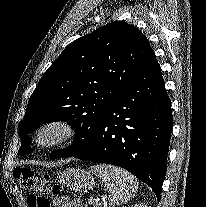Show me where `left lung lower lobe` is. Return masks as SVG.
Masks as SVG:
<instances>
[{
  "label": "left lung lower lobe",
  "instance_id": "1",
  "mask_svg": "<svg viewBox=\"0 0 206 207\" xmlns=\"http://www.w3.org/2000/svg\"><path fill=\"white\" fill-rule=\"evenodd\" d=\"M172 125L171 102L153 55L109 104L91 144L70 156L120 166L160 200Z\"/></svg>",
  "mask_w": 206,
  "mask_h": 207
}]
</instances>
